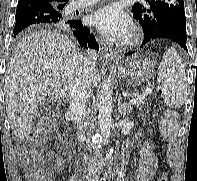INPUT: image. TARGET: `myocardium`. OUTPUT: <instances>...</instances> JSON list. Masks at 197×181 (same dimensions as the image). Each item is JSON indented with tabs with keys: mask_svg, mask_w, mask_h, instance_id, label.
Wrapping results in <instances>:
<instances>
[{
	"mask_svg": "<svg viewBox=\"0 0 197 181\" xmlns=\"http://www.w3.org/2000/svg\"><path fill=\"white\" fill-rule=\"evenodd\" d=\"M138 40H139V33L137 30H133L132 32H130V34L126 38L125 44L126 45H134L138 42Z\"/></svg>",
	"mask_w": 197,
	"mask_h": 181,
	"instance_id": "obj_1",
	"label": "myocardium"
}]
</instances>
